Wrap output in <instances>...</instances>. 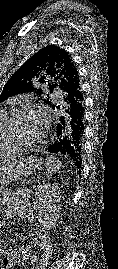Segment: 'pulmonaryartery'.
Returning a JSON list of instances; mask_svg holds the SVG:
<instances>
[{
    "label": "pulmonary artery",
    "mask_w": 118,
    "mask_h": 269,
    "mask_svg": "<svg viewBox=\"0 0 118 269\" xmlns=\"http://www.w3.org/2000/svg\"><path fill=\"white\" fill-rule=\"evenodd\" d=\"M53 98L57 101V102H61L62 101V95L60 92L56 91L54 94H53Z\"/></svg>",
    "instance_id": "pulmonary-artery-1"
}]
</instances>
